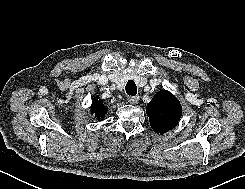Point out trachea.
<instances>
[{
  "label": "trachea",
  "instance_id": "1",
  "mask_svg": "<svg viewBox=\"0 0 245 189\" xmlns=\"http://www.w3.org/2000/svg\"><path fill=\"white\" fill-rule=\"evenodd\" d=\"M125 89L129 96H135L137 94V86L132 80L127 82Z\"/></svg>",
  "mask_w": 245,
  "mask_h": 189
}]
</instances>
